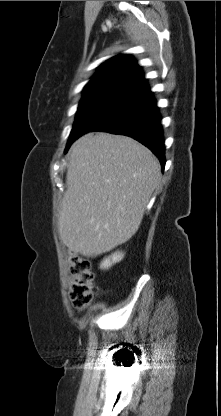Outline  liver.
<instances>
[{"instance_id":"1","label":"liver","mask_w":221,"mask_h":416,"mask_svg":"<svg viewBox=\"0 0 221 416\" xmlns=\"http://www.w3.org/2000/svg\"><path fill=\"white\" fill-rule=\"evenodd\" d=\"M161 168L136 140L88 133L71 147L58 218L60 239L74 253L96 257L138 230Z\"/></svg>"}]
</instances>
